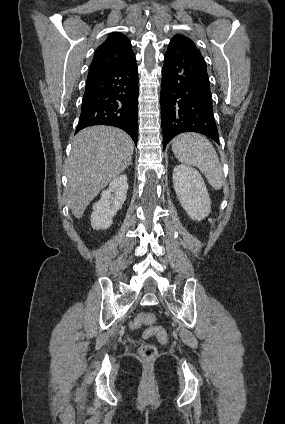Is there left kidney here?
<instances>
[{
  "label": "left kidney",
  "instance_id": "1",
  "mask_svg": "<svg viewBox=\"0 0 285 424\" xmlns=\"http://www.w3.org/2000/svg\"><path fill=\"white\" fill-rule=\"evenodd\" d=\"M173 185L179 202L189 217L202 220L211 211V200L201 174L193 167L177 165Z\"/></svg>",
  "mask_w": 285,
  "mask_h": 424
}]
</instances>
